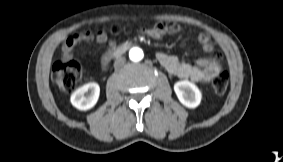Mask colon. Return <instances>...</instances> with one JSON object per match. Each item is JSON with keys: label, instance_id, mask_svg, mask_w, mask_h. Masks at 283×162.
<instances>
[{"label": "colon", "instance_id": "1", "mask_svg": "<svg viewBox=\"0 0 283 162\" xmlns=\"http://www.w3.org/2000/svg\"><path fill=\"white\" fill-rule=\"evenodd\" d=\"M116 33V30H114ZM81 65L76 60L59 61L53 66L52 77L64 90H71L77 84L81 76ZM229 75L227 72L220 73L213 81V90L217 94H224L228 88Z\"/></svg>", "mask_w": 283, "mask_h": 162}]
</instances>
